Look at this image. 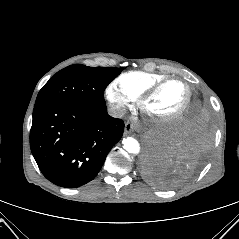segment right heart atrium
Returning <instances> with one entry per match:
<instances>
[{
  "mask_svg": "<svg viewBox=\"0 0 239 239\" xmlns=\"http://www.w3.org/2000/svg\"><path fill=\"white\" fill-rule=\"evenodd\" d=\"M105 95L112 110L118 115L122 114L126 108L135 101V99L126 94L116 82L108 84Z\"/></svg>",
  "mask_w": 239,
  "mask_h": 239,
  "instance_id": "1",
  "label": "right heart atrium"
}]
</instances>
